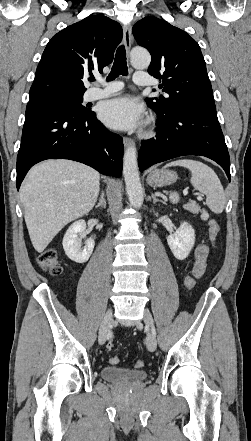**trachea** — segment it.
I'll list each match as a JSON object with an SVG mask.
<instances>
[{
  "instance_id": "3493384b",
  "label": "trachea",
  "mask_w": 251,
  "mask_h": 441,
  "mask_svg": "<svg viewBox=\"0 0 251 441\" xmlns=\"http://www.w3.org/2000/svg\"><path fill=\"white\" fill-rule=\"evenodd\" d=\"M119 75L127 76L128 75V67L126 61V51L123 45L119 46L116 51L115 60L113 66L111 68V72L107 77V81L114 80ZM93 78L91 81H94Z\"/></svg>"
}]
</instances>
